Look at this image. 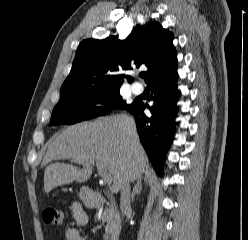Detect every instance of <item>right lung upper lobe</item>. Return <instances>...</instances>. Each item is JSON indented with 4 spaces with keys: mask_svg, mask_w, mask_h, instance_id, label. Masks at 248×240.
<instances>
[{
    "mask_svg": "<svg viewBox=\"0 0 248 240\" xmlns=\"http://www.w3.org/2000/svg\"><path fill=\"white\" fill-rule=\"evenodd\" d=\"M132 61L137 68L142 64L147 66L150 77L146 82L149 85L170 76L177 68L173 34L153 21L137 25L125 40H119L116 36L103 40H83L61 91L120 89L123 78H127L128 82L133 81L131 76L120 73L122 69H131Z\"/></svg>",
    "mask_w": 248,
    "mask_h": 240,
    "instance_id": "right-lung-upper-lobe-1",
    "label": "right lung upper lobe"
}]
</instances>
